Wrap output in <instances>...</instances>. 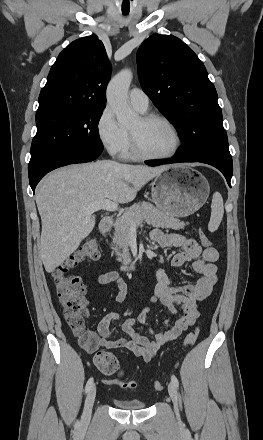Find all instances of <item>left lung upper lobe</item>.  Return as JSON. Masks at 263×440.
Returning a JSON list of instances; mask_svg holds the SVG:
<instances>
[{
    "label": "left lung upper lobe",
    "instance_id": "left-lung-upper-lobe-1",
    "mask_svg": "<svg viewBox=\"0 0 263 440\" xmlns=\"http://www.w3.org/2000/svg\"><path fill=\"white\" fill-rule=\"evenodd\" d=\"M141 87L182 138L189 160L230 155L217 92L197 55L179 38L153 34L137 51Z\"/></svg>",
    "mask_w": 263,
    "mask_h": 440
}]
</instances>
